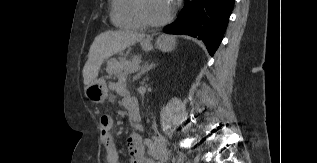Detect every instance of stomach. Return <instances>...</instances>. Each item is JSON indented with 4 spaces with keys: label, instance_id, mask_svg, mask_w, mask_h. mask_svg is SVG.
<instances>
[{
    "label": "stomach",
    "instance_id": "1",
    "mask_svg": "<svg viewBox=\"0 0 317 163\" xmlns=\"http://www.w3.org/2000/svg\"><path fill=\"white\" fill-rule=\"evenodd\" d=\"M175 38L169 35H160L156 40V47L164 52L173 50L175 46ZM143 50L150 51L153 45L148 40L141 42ZM86 97L93 103H102L108 97V88L103 78L95 79L92 83L85 87Z\"/></svg>",
    "mask_w": 317,
    "mask_h": 163
}]
</instances>
